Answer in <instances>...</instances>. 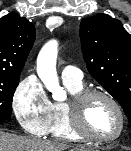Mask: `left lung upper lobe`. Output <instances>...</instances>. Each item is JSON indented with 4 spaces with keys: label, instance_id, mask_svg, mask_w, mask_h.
Returning a JSON list of instances; mask_svg holds the SVG:
<instances>
[{
    "label": "left lung upper lobe",
    "instance_id": "obj_1",
    "mask_svg": "<svg viewBox=\"0 0 131 151\" xmlns=\"http://www.w3.org/2000/svg\"><path fill=\"white\" fill-rule=\"evenodd\" d=\"M89 73L120 103L131 123V36L122 23L100 13L80 23Z\"/></svg>",
    "mask_w": 131,
    "mask_h": 151
}]
</instances>
